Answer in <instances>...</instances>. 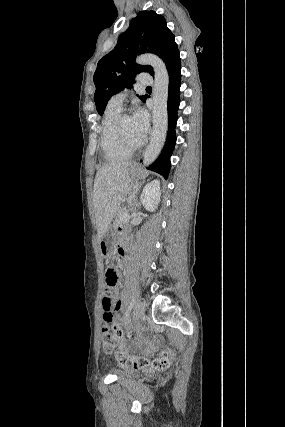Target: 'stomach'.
<instances>
[{
	"label": "stomach",
	"instance_id": "obj_1",
	"mask_svg": "<svg viewBox=\"0 0 285 427\" xmlns=\"http://www.w3.org/2000/svg\"><path fill=\"white\" fill-rule=\"evenodd\" d=\"M140 175V171L139 168L136 165H131L130 167V179L131 180H136ZM113 239H114V234L111 230H108L103 237L101 238L100 242H99V247L101 250V253L107 257L113 247Z\"/></svg>",
	"mask_w": 285,
	"mask_h": 427
}]
</instances>
